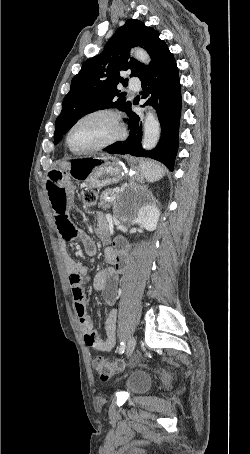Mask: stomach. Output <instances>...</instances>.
<instances>
[{
  "label": "stomach",
  "mask_w": 250,
  "mask_h": 454,
  "mask_svg": "<svg viewBox=\"0 0 250 454\" xmlns=\"http://www.w3.org/2000/svg\"><path fill=\"white\" fill-rule=\"evenodd\" d=\"M122 171L121 161L109 155L79 159L69 166V175L76 176L77 181L84 182L89 188L116 183L121 178ZM46 176H66V174L59 168L49 171ZM44 186L46 187V180Z\"/></svg>",
  "instance_id": "1"
}]
</instances>
